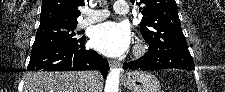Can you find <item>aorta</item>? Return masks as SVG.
Listing matches in <instances>:
<instances>
[{
    "label": "aorta",
    "instance_id": "obj_1",
    "mask_svg": "<svg viewBox=\"0 0 225 92\" xmlns=\"http://www.w3.org/2000/svg\"><path fill=\"white\" fill-rule=\"evenodd\" d=\"M120 72V68H115L110 71L105 83V92H118Z\"/></svg>",
    "mask_w": 225,
    "mask_h": 92
}]
</instances>
